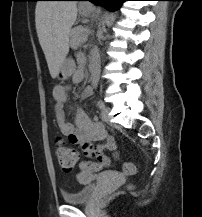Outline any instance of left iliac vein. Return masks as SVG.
<instances>
[{"instance_id": "4c4485c4", "label": "left iliac vein", "mask_w": 202, "mask_h": 217, "mask_svg": "<svg viewBox=\"0 0 202 217\" xmlns=\"http://www.w3.org/2000/svg\"><path fill=\"white\" fill-rule=\"evenodd\" d=\"M109 112H110L109 107H105L104 109H102L101 116L104 122H107V123L109 122Z\"/></svg>"}]
</instances>
